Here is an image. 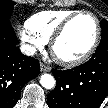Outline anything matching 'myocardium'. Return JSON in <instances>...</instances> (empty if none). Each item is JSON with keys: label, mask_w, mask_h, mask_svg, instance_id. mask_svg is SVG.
I'll return each mask as SVG.
<instances>
[{"label": "myocardium", "mask_w": 108, "mask_h": 108, "mask_svg": "<svg viewBox=\"0 0 108 108\" xmlns=\"http://www.w3.org/2000/svg\"><path fill=\"white\" fill-rule=\"evenodd\" d=\"M90 16L96 25V34H95V38L91 44V46L87 49V51H85L82 55H80L79 57L73 58V59H66L63 57H60L57 53H56V45L58 43V41L60 40V38L64 35V33L66 32V30L68 29V27L80 16ZM100 38H101V26H100V21L98 19V17L90 12V11H78L74 14H72L71 16H69L67 19H65L60 26L56 29V31L54 32V34L52 35L51 39H50V51L52 56L54 57V59L61 65L66 66V67H74V66H78L84 62H86L96 51L99 42H100Z\"/></svg>", "instance_id": "obj_1"}]
</instances>
